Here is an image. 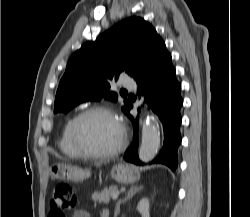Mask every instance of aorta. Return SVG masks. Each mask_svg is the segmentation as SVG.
<instances>
[{"instance_id": "aorta-1", "label": "aorta", "mask_w": 250, "mask_h": 217, "mask_svg": "<svg viewBox=\"0 0 250 217\" xmlns=\"http://www.w3.org/2000/svg\"><path fill=\"white\" fill-rule=\"evenodd\" d=\"M160 147L159 124L153 119L147 118L142 125V142L139 148V159L142 162L151 161Z\"/></svg>"}]
</instances>
